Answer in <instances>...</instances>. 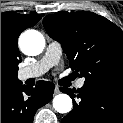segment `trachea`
<instances>
[{"label":"trachea","mask_w":123,"mask_h":123,"mask_svg":"<svg viewBox=\"0 0 123 123\" xmlns=\"http://www.w3.org/2000/svg\"><path fill=\"white\" fill-rule=\"evenodd\" d=\"M72 79V77H68L66 79H64L62 82L63 84H67L68 81H70Z\"/></svg>","instance_id":"obj_1"}]
</instances>
